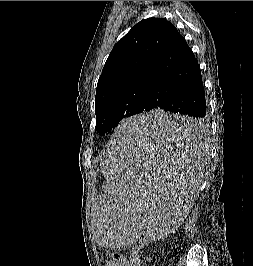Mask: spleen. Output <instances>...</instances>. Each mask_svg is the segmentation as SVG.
Returning <instances> with one entry per match:
<instances>
[{"label": "spleen", "mask_w": 253, "mask_h": 266, "mask_svg": "<svg viewBox=\"0 0 253 266\" xmlns=\"http://www.w3.org/2000/svg\"><path fill=\"white\" fill-rule=\"evenodd\" d=\"M203 123L180 111L126 117L103 160L108 207H93L92 227L102 248H157L181 229L202 173Z\"/></svg>", "instance_id": "3e777b00"}]
</instances>
